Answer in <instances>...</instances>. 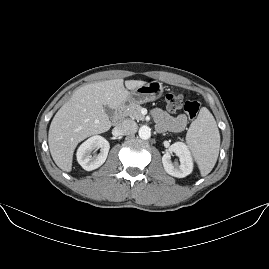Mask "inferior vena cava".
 <instances>
[{"label":"inferior vena cava","mask_w":269,"mask_h":269,"mask_svg":"<svg viewBox=\"0 0 269 269\" xmlns=\"http://www.w3.org/2000/svg\"><path fill=\"white\" fill-rule=\"evenodd\" d=\"M138 129V126L135 121L133 120H124L119 126H118V132L122 135H129L136 133Z\"/></svg>","instance_id":"inferior-vena-cava-1"}]
</instances>
